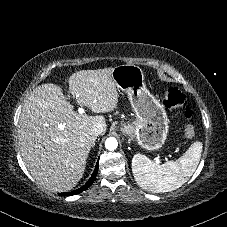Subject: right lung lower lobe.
<instances>
[{"instance_id": "right-lung-lower-lobe-1", "label": "right lung lower lobe", "mask_w": 227, "mask_h": 227, "mask_svg": "<svg viewBox=\"0 0 227 227\" xmlns=\"http://www.w3.org/2000/svg\"><path fill=\"white\" fill-rule=\"evenodd\" d=\"M97 172H98V163L96 164V167H95V170H94L92 176L90 177V179L87 181V183L84 186H82L81 188H79L77 190L63 193V194L70 196V195H75V194L81 193L82 191H84L85 189H87L89 186L92 185V183L94 182V180L96 178Z\"/></svg>"}]
</instances>
